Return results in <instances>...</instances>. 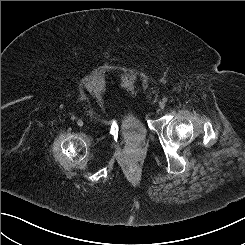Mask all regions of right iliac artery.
Instances as JSON below:
<instances>
[{
	"instance_id": "1",
	"label": "right iliac artery",
	"mask_w": 245,
	"mask_h": 245,
	"mask_svg": "<svg viewBox=\"0 0 245 245\" xmlns=\"http://www.w3.org/2000/svg\"><path fill=\"white\" fill-rule=\"evenodd\" d=\"M76 119V117L73 115L71 116V120L74 121Z\"/></svg>"
}]
</instances>
